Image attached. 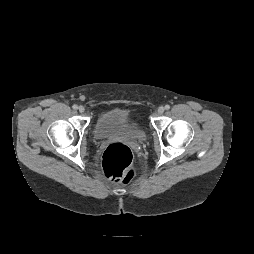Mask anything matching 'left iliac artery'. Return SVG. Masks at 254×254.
<instances>
[{
  "instance_id": "obj_1",
  "label": "left iliac artery",
  "mask_w": 254,
  "mask_h": 254,
  "mask_svg": "<svg viewBox=\"0 0 254 254\" xmlns=\"http://www.w3.org/2000/svg\"><path fill=\"white\" fill-rule=\"evenodd\" d=\"M165 109H166V110H169V109H170V106H169V105H165Z\"/></svg>"
}]
</instances>
